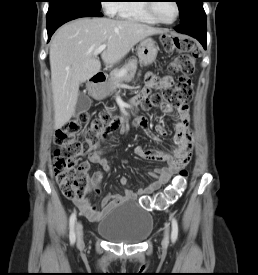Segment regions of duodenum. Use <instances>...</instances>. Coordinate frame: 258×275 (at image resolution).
Segmentation results:
<instances>
[{
  "instance_id": "1",
  "label": "duodenum",
  "mask_w": 258,
  "mask_h": 275,
  "mask_svg": "<svg viewBox=\"0 0 258 275\" xmlns=\"http://www.w3.org/2000/svg\"><path fill=\"white\" fill-rule=\"evenodd\" d=\"M106 81V75L102 71H97L92 77H91V83H92V88H91V93L94 96H99L100 88Z\"/></svg>"
}]
</instances>
